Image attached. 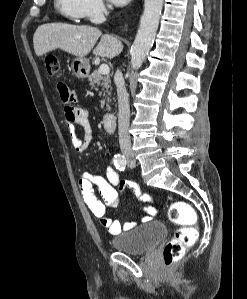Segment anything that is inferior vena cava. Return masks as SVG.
<instances>
[{"mask_svg":"<svg viewBox=\"0 0 247 299\" xmlns=\"http://www.w3.org/2000/svg\"><path fill=\"white\" fill-rule=\"evenodd\" d=\"M104 13L108 12L103 8ZM118 96V134L121 152L131 153V140L129 135L130 106L129 96L125 88L122 72L117 70L114 76Z\"/></svg>","mask_w":247,"mask_h":299,"instance_id":"inferior-vena-cava-1","label":"inferior vena cava"}]
</instances>
